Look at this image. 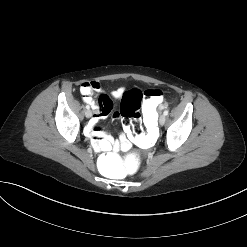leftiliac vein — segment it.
Masks as SVG:
<instances>
[{"instance_id":"obj_1","label":"left iliac vein","mask_w":247,"mask_h":247,"mask_svg":"<svg viewBox=\"0 0 247 247\" xmlns=\"http://www.w3.org/2000/svg\"><path fill=\"white\" fill-rule=\"evenodd\" d=\"M166 121V116L165 115H161L159 118V124L160 125H164Z\"/></svg>"}]
</instances>
